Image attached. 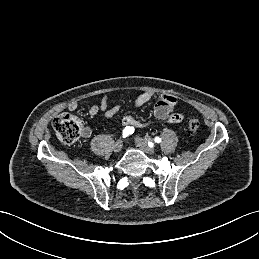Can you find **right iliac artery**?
I'll use <instances>...</instances> for the list:
<instances>
[{
    "label": "right iliac artery",
    "instance_id": "1",
    "mask_svg": "<svg viewBox=\"0 0 259 259\" xmlns=\"http://www.w3.org/2000/svg\"><path fill=\"white\" fill-rule=\"evenodd\" d=\"M133 132H134V128L127 126V127L124 128V130L122 132V136H123V138H125V137L133 134Z\"/></svg>",
    "mask_w": 259,
    "mask_h": 259
}]
</instances>
